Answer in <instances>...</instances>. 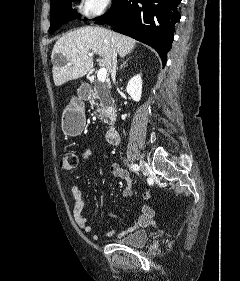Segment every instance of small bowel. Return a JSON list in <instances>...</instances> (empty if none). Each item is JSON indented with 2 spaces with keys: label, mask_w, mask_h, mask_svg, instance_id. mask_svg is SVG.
<instances>
[{
  "label": "small bowel",
  "mask_w": 240,
  "mask_h": 281,
  "mask_svg": "<svg viewBox=\"0 0 240 281\" xmlns=\"http://www.w3.org/2000/svg\"><path fill=\"white\" fill-rule=\"evenodd\" d=\"M93 155H94L93 150L88 148V149H85L81 153V158H82L83 162H87L93 157ZM109 172L113 176L120 178L126 182V187L124 188V190L122 192V196L124 198L130 197L132 194V180L130 178L129 172L116 163H112L109 166ZM71 195L74 200V206H73L72 213H73V218H74L76 224L85 233H87V234L93 233L94 228H93V226H91L88 223V218L83 213L84 202L82 199V192H81L80 188L75 185L72 186ZM141 195H142V198H144V199H148L150 197V193L148 191H144ZM153 215H154L153 209L148 205H143L140 209V215L138 216V218L132 224L128 225L126 227V229L124 231H122L119 235L124 236V235H127L129 233L136 231L139 228L148 226L153 218ZM109 216L112 218H119V216L114 213H109ZM114 233H115V231L107 232L102 235L94 234L93 238L95 240H100L104 237L111 236Z\"/></svg>",
  "instance_id": "c3829d8e"
}]
</instances>
